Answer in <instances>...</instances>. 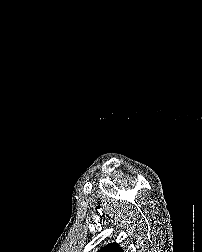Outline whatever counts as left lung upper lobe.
I'll use <instances>...</instances> for the list:
<instances>
[{"instance_id": "obj_1", "label": "left lung upper lobe", "mask_w": 202, "mask_h": 252, "mask_svg": "<svg viewBox=\"0 0 202 252\" xmlns=\"http://www.w3.org/2000/svg\"><path fill=\"white\" fill-rule=\"evenodd\" d=\"M98 252H123L117 243H111L101 248Z\"/></svg>"}]
</instances>
